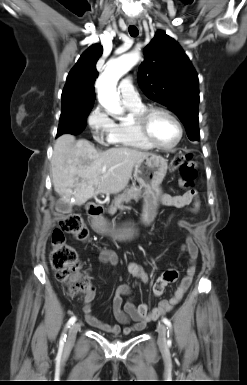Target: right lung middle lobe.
Masks as SVG:
<instances>
[{
  "instance_id": "1",
  "label": "right lung middle lobe",
  "mask_w": 247,
  "mask_h": 385,
  "mask_svg": "<svg viewBox=\"0 0 247 385\" xmlns=\"http://www.w3.org/2000/svg\"><path fill=\"white\" fill-rule=\"evenodd\" d=\"M93 105L75 102L62 103L57 137L69 133L77 135L86 127L87 116Z\"/></svg>"
}]
</instances>
